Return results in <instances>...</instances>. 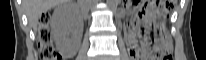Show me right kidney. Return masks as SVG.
I'll use <instances>...</instances> for the list:
<instances>
[{
    "mask_svg": "<svg viewBox=\"0 0 206 60\" xmlns=\"http://www.w3.org/2000/svg\"><path fill=\"white\" fill-rule=\"evenodd\" d=\"M54 39L58 47L69 48L76 42L81 25L77 19L76 10L72 6H63L53 14ZM73 34L70 37V34Z\"/></svg>",
    "mask_w": 206,
    "mask_h": 60,
    "instance_id": "right-kidney-1",
    "label": "right kidney"
}]
</instances>
